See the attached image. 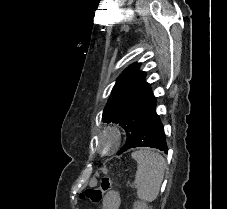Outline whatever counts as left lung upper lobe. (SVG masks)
<instances>
[{"instance_id":"5c2ea615","label":"left lung upper lobe","mask_w":227,"mask_h":209,"mask_svg":"<svg viewBox=\"0 0 227 209\" xmlns=\"http://www.w3.org/2000/svg\"><path fill=\"white\" fill-rule=\"evenodd\" d=\"M140 63L130 65L117 78L112 94L103 112V121L114 122L125 129L127 140L118 155L131 145L143 116L155 104L146 72L139 71Z\"/></svg>"}]
</instances>
